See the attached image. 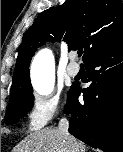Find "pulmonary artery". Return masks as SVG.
I'll return each instance as SVG.
<instances>
[{
  "mask_svg": "<svg viewBox=\"0 0 123 152\" xmlns=\"http://www.w3.org/2000/svg\"><path fill=\"white\" fill-rule=\"evenodd\" d=\"M79 70H80L79 65L75 61V55H72L71 61L67 67V73L69 76L75 77L78 75Z\"/></svg>",
  "mask_w": 123,
  "mask_h": 152,
  "instance_id": "1",
  "label": "pulmonary artery"
}]
</instances>
